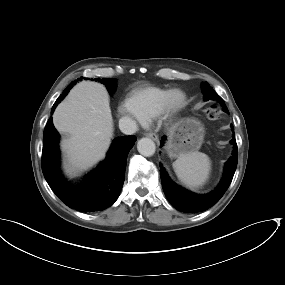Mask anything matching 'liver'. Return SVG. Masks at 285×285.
<instances>
[{
  "mask_svg": "<svg viewBox=\"0 0 285 285\" xmlns=\"http://www.w3.org/2000/svg\"><path fill=\"white\" fill-rule=\"evenodd\" d=\"M55 128L69 137L61 142L64 168L70 175L103 159L113 137V119L106 88L82 81L72 88L53 114Z\"/></svg>",
  "mask_w": 285,
  "mask_h": 285,
  "instance_id": "6515ba94",
  "label": "liver"
}]
</instances>
